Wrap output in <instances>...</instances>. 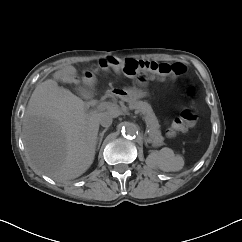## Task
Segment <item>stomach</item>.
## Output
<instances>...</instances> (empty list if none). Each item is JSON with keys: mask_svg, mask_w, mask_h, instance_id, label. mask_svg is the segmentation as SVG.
<instances>
[{"mask_svg": "<svg viewBox=\"0 0 242 242\" xmlns=\"http://www.w3.org/2000/svg\"><path fill=\"white\" fill-rule=\"evenodd\" d=\"M115 95L124 101L132 102L149 96V92L147 90L139 89L136 87H130L117 91Z\"/></svg>", "mask_w": 242, "mask_h": 242, "instance_id": "0dacf381", "label": "stomach"}]
</instances>
